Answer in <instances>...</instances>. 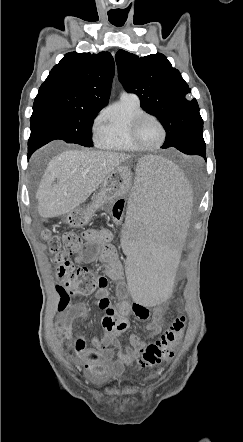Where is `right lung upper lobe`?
<instances>
[{
	"label": "right lung upper lobe",
	"mask_w": 243,
	"mask_h": 442,
	"mask_svg": "<svg viewBox=\"0 0 243 442\" xmlns=\"http://www.w3.org/2000/svg\"><path fill=\"white\" fill-rule=\"evenodd\" d=\"M113 76L109 52H70L50 71L35 99L59 98L75 107L101 110L108 103Z\"/></svg>",
	"instance_id": "obj_1"
}]
</instances>
